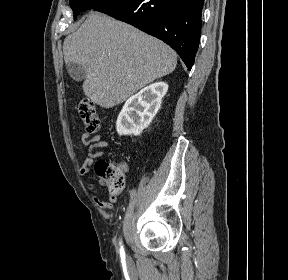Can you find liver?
Segmentation results:
<instances>
[{
    "instance_id": "liver-1",
    "label": "liver",
    "mask_w": 288,
    "mask_h": 280,
    "mask_svg": "<svg viewBox=\"0 0 288 280\" xmlns=\"http://www.w3.org/2000/svg\"><path fill=\"white\" fill-rule=\"evenodd\" d=\"M63 54L66 64L83 66L84 94L104 108L123 103L177 65L176 53L162 41L94 11L64 39Z\"/></svg>"
}]
</instances>
